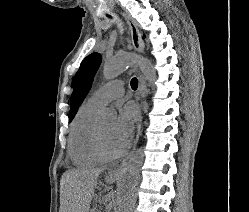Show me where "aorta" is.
Listing matches in <instances>:
<instances>
[{"mask_svg": "<svg viewBox=\"0 0 249 212\" xmlns=\"http://www.w3.org/2000/svg\"><path fill=\"white\" fill-rule=\"evenodd\" d=\"M133 64L139 66L149 85L154 86L156 72L151 61L133 53H121L112 59L107 60L103 65V75L107 80L113 79ZM115 115L116 112L112 109H107L105 111V116L107 117H114ZM143 159L144 149L143 147H140L133 153L129 163L124 168L119 187L117 212L131 211Z\"/></svg>", "mask_w": 249, "mask_h": 212, "instance_id": "762f6f07", "label": "aorta"}]
</instances>
